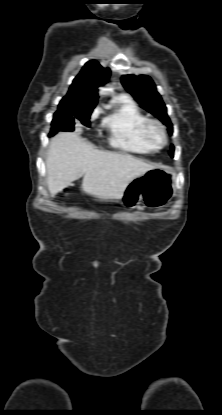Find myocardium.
Instances as JSON below:
<instances>
[{
    "mask_svg": "<svg viewBox=\"0 0 222 415\" xmlns=\"http://www.w3.org/2000/svg\"><path fill=\"white\" fill-rule=\"evenodd\" d=\"M143 135L146 140L157 148H161L168 143V133L165 125L158 119L148 118L142 127ZM158 132L159 138H156L154 132Z\"/></svg>",
    "mask_w": 222,
    "mask_h": 415,
    "instance_id": "obj_1",
    "label": "myocardium"
}]
</instances>
